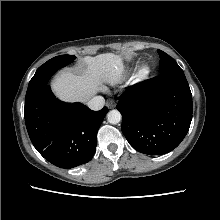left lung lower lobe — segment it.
<instances>
[{"mask_svg":"<svg viewBox=\"0 0 220 220\" xmlns=\"http://www.w3.org/2000/svg\"><path fill=\"white\" fill-rule=\"evenodd\" d=\"M122 132L138 152L161 155L175 149L192 120V94L184 72L160 74L129 88L120 98Z\"/></svg>","mask_w":220,"mask_h":220,"instance_id":"left-lung-lower-lobe-1","label":"left lung lower lobe"}]
</instances>
